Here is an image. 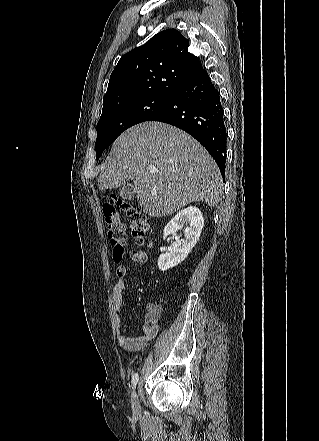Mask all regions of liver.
I'll use <instances>...</instances> for the list:
<instances>
[{"label":"liver","mask_w":319,"mask_h":441,"mask_svg":"<svg viewBox=\"0 0 319 441\" xmlns=\"http://www.w3.org/2000/svg\"><path fill=\"white\" fill-rule=\"evenodd\" d=\"M129 179L143 212L152 217L170 215L192 202L214 207L222 193L221 173L204 147L161 122L140 123L117 138L98 187L115 189Z\"/></svg>","instance_id":"obj_1"}]
</instances>
